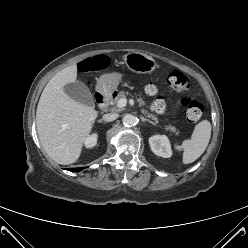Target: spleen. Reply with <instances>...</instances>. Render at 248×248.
Segmentation results:
<instances>
[{"label": "spleen", "instance_id": "obj_1", "mask_svg": "<svg viewBox=\"0 0 248 248\" xmlns=\"http://www.w3.org/2000/svg\"><path fill=\"white\" fill-rule=\"evenodd\" d=\"M211 137V123L208 120L200 121L194 128L190 140L183 141L177 150H183V163L189 164L197 160L206 150Z\"/></svg>", "mask_w": 248, "mask_h": 248}]
</instances>
